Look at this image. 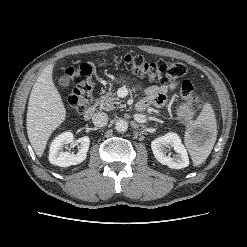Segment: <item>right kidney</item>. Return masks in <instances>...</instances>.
<instances>
[{
  "label": "right kidney",
  "instance_id": "ca27d5eb",
  "mask_svg": "<svg viewBox=\"0 0 247 247\" xmlns=\"http://www.w3.org/2000/svg\"><path fill=\"white\" fill-rule=\"evenodd\" d=\"M73 139L74 137L71 132H64L53 140L49 150L50 163L60 167H68L77 165L85 160L90 145L89 137L84 136L77 140L80 143V149L77 154L63 151V146L72 143Z\"/></svg>",
  "mask_w": 247,
  "mask_h": 247
}]
</instances>
